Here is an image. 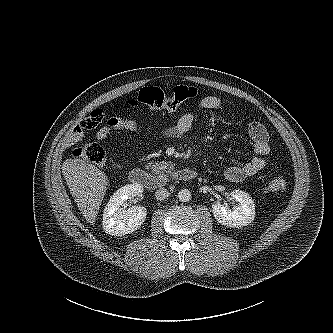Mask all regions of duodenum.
<instances>
[{
  "instance_id": "obj_1",
  "label": "duodenum",
  "mask_w": 333,
  "mask_h": 333,
  "mask_svg": "<svg viewBox=\"0 0 333 333\" xmlns=\"http://www.w3.org/2000/svg\"><path fill=\"white\" fill-rule=\"evenodd\" d=\"M171 177L179 181H191L197 177V172L190 168H182L172 173ZM130 181L148 189H158L163 187L167 179L162 175H155L140 168H135L129 173Z\"/></svg>"
}]
</instances>
